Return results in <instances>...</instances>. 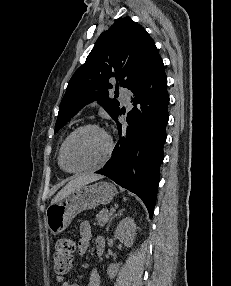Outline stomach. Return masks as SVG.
Here are the masks:
<instances>
[{
  "label": "stomach",
  "instance_id": "obj_1",
  "mask_svg": "<svg viewBox=\"0 0 231 286\" xmlns=\"http://www.w3.org/2000/svg\"><path fill=\"white\" fill-rule=\"evenodd\" d=\"M116 193V187L106 181L84 185L74 190L47 208L48 229L53 235L62 233L79 213L110 203Z\"/></svg>",
  "mask_w": 231,
  "mask_h": 286
}]
</instances>
